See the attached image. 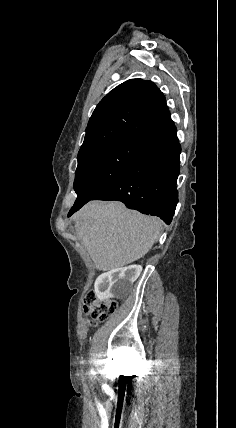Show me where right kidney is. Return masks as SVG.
I'll return each mask as SVG.
<instances>
[{
  "label": "right kidney",
  "mask_w": 236,
  "mask_h": 428,
  "mask_svg": "<svg viewBox=\"0 0 236 428\" xmlns=\"http://www.w3.org/2000/svg\"><path fill=\"white\" fill-rule=\"evenodd\" d=\"M142 266H126V268L103 269L96 278L95 292L99 301H124L125 293L132 291V284L139 278ZM123 282V283H122ZM99 286V287H98Z\"/></svg>",
  "instance_id": "obj_1"
}]
</instances>
